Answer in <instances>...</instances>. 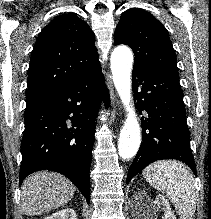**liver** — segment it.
<instances>
[{"label": "liver", "mask_w": 211, "mask_h": 219, "mask_svg": "<svg viewBox=\"0 0 211 219\" xmlns=\"http://www.w3.org/2000/svg\"><path fill=\"white\" fill-rule=\"evenodd\" d=\"M75 191L74 184L61 174L36 172L22 184V211L27 216H35L59 208L71 200Z\"/></svg>", "instance_id": "6515ba94"}]
</instances>
